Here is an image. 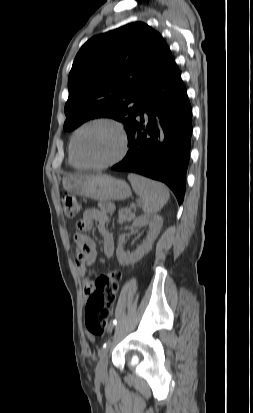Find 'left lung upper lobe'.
<instances>
[{
	"mask_svg": "<svg viewBox=\"0 0 253 413\" xmlns=\"http://www.w3.org/2000/svg\"><path fill=\"white\" fill-rule=\"evenodd\" d=\"M172 59L162 36L142 22L92 37L79 50L69 73L64 129L72 131L87 120L110 117L128 131L147 92Z\"/></svg>",
	"mask_w": 253,
	"mask_h": 413,
	"instance_id": "left-lung-upper-lobe-1",
	"label": "left lung upper lobe"
}]
</instances>
